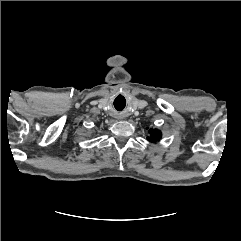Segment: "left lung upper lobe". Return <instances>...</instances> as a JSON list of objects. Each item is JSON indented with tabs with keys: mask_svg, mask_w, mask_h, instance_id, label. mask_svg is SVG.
I'll return each mask as SVG.
<instances>
[{
	"mask_svg": "<svg viewBox=\"0 0 241 241\" xmlns=\"http://www.w3.org/2000/svg\"><path fill=\"white\" fill-rule=\"evenodd\" d=\"M150 136L147 138L150 142H157L161 139V132L159 130H149Z\"/></svg>",
	"mask_w": 241,
	"mask_h": 241,
	"instance_id": "obj_1",
	"label": "left lung upper lobe"
}]
</instances>
